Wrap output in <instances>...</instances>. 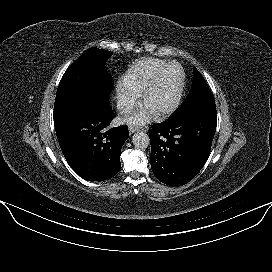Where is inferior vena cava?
Wrapping results in <instances>:
<instances>
[{"label":"inferior vena cava","mask_w":272,"mask_h":272,"mask_svg":"<svg viewBox=\"0 0 272 272\" xmlns=\"http://www.w3.org/2000/svg\"><path fill=\"white\" fill-rule=\"evenodd\" d=\"M133 102L128 99H120L116 103V107L119 111L122 113H127L130 112L133 108Z\"/></svg>","instance_id":"602c4592"}]
</instances>
